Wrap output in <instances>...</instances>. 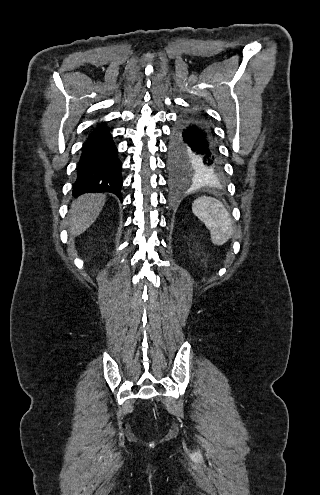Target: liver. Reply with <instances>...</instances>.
<instances>
[{
    "label": "liver",
    "mask_w": 320,
    "mask_h": 495,
    "mask_svg": "<svg viewBox=\"0 0 320 495\" xmlns=\"http://www.w3.org/2000/svg\"><path fill=\"white\" fill-rule=\"evenodd\" d=\"M105 202V194H84L75 199L68 215L70 235L79 236L85 232L99 216Z\"/></svg>",
    "instance_id": "6515ba94"
}]
</instances>
